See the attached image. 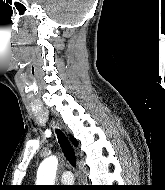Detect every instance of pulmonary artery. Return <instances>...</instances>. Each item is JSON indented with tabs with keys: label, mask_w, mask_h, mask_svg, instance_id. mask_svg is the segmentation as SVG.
<instances>
[{
	"label": "pulmonary artery",
	"mask_w": 165,
	"mask_h": 190,
	"mask_svg": "<svg viewBox=\"0 0 165 190\" xmlns=\"http://www.w3.org/2000/svg\"><path fill=\"white\" fill-rule=\"evenodd\" d=\"M74 181V177H73V174L71 171H64L62 174H61V182L63 184H71L73 183Z\"/></svg>",
	"instance_id": "e3ab8cb5"
}]
</instances>
